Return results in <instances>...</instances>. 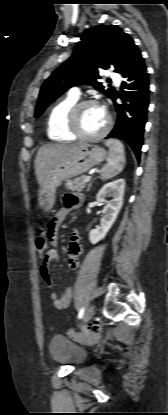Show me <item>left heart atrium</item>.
Instances as JSON below:
<instances>
[{
  "instance_id": "obj_1",
  "label": "left heart atrium",
  "mask_w": 168,
  "mask_h": 415,
  "mask_svg": "<svg viewBox=\"0 0 168 415\" xmlns=\"http://www.w3.org/2000/svg\"><path fill=\"white\" fill-rule=\"evenodd\" d=\"M100 108L102 109V111L105 112V108L103 106H100ZM106 113V112H105Z\"/></svg>"
}]
</instances>
